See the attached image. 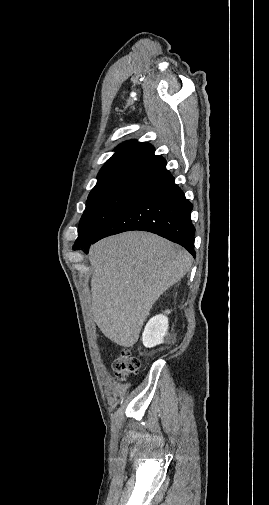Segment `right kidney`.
Listing matches in <instances>:
<instances>
[{
    "mask_svg": "<svg viewBox=\"0 0 269 505\" xmlns=\"http://www.w3.org/2000/svg\"><path fill=\"white\" fill-rule=\"evenodd\" d=\"M169 313V311H167ZM168 318L159 314L151 318L145 326L142 340L145 347H154L167 338Z\"/></svg>",
    "mask_w": 269,
    "mask_h": 505,
    "instance_id": "ca27d5eb",
    "label": "right kidney"
}]
</instances>
